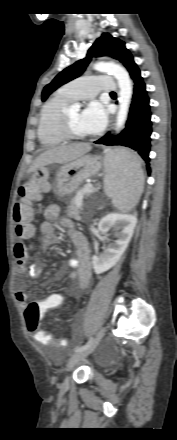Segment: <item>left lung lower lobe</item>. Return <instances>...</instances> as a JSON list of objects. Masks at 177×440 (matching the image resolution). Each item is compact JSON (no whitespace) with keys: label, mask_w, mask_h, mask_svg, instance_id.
Returning <instances> with one entry per match:
<instances>
[{"label":"left lung lower lobe","mask_w":177,"mask_h":440,"mask_svg":"<svg viewBox=\"0 0 177 440\" xmlns=\"http://www.w3.org/2000/svg\"><path fill=\"white\" fill-rule=\"evenodd\" d=\"M133 82V98L125 129L117 136L107 133L95 141L97 144L120 145L136 151L144 160L150 173V141L152 133L151 111L146 86L138 67L130 73Z\"/></svg>","instance_id":"1"}]
</instances>
